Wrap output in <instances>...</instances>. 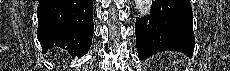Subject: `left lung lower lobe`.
<instances>
[{
  "mask_svg": "<svg viewBox=\"0 0 230 71\" xmlns=\"http://www.w3.org/2000/svg\"><path fill=\"white\" fill-rule=\"evenodd\" d=\"M190 0H154L147 17L136 18L139 59L158 51H177L192 57L195 38Z\"/></svg>",
  "mask_w": 230,
  "mask_h": 71,
  "instance_id": "obj_1",
  "label": "left lung lower lobe"
}]
</instances>
